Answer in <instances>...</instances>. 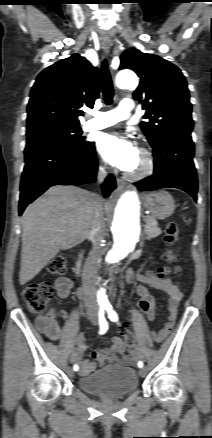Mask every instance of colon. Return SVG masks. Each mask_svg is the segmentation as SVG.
Here are the masks:
<instances>
[{
    "instance_id": "5ec220e1",
    "label": "colon",
    "mask_w": 212,
    "mask_h": 438,
    "mask_svg": "<svg viewBox=\"0 0 212 438\" xmlns=\"http://www.w3.org/2000/svg\"><path fill=\"white\" fill-rule=\"evenodd\" d=\"M179 229L177 224L170 223L167 225L164 234L165 249L162 253L163 260L167 263L166 266L159 268L158 277L163 279L168 274L177 271L176 262L178 255L175 251V243L178 237ZM67 267V259L64 255H56L48 264V271L51 274H61ZM53 295V289L49 283L45 282H33L25 286L23 290V298L26 302L28 309L33 313H42L51 300ZM155 302L154 296L148 293L140 297L137 302V310L146 317L154 309ZM130 317H127L126 331L124 334L125 345L129 348L133 347L135 339L134 333L130 327Z\"/></svg>"
}]
</instances>
